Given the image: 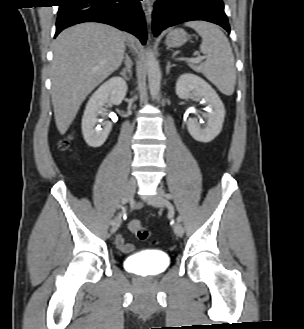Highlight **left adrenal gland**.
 Masks as SVG:
<instances>
[{
    "label": "left adrenal gland",
    "instance_id": "left-adrenal-gland-1",
    "mask_svg": "<svg viewBox=\"0 0 304 329\" xmlns=\"http://www.w3.org/2000/svg\"><path fill=\"white\" fill-rule=\"evenodd\" d=\"M174 64H171L170 61H167V66H166V74H169L170 68L174 67Z\"/></svg>",
    "mask_w": 304,
    "mask_h": 329
}]
</instances>
